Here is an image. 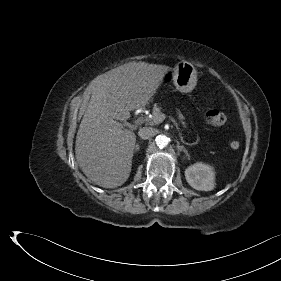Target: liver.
I'll list each match as a JSON object with an SVG mask.
<instances>
[{
    "mask_svg": "<svg viewBox=\"0 0 281 281\" xmlns=\"http://www.w3.org/2000/svg\"><path fill=\"white\" fill-rule=\"evenodd\" d=\"M169 71L165 65L130 62L93 81L75 156L82 172L96 185L116 188L127 181L136 135L119 121L130 118V111L144 108Z\"/></svg>",
    "mask_w": 281,
    "mask_h": 281,
    "instance_id": "liver-1",
    "label": "liver"
}]
</instances>
